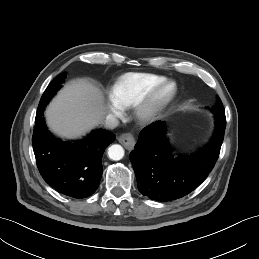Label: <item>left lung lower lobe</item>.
Returning <instances> with one entry per match:
<instances>
[{
	"label": "left lung lower lobe",
	"mask_w": 259,
	"mask_h": 259,
	"mask_svg": "<svg viewBox=\"0 0 259 259\" xmlns=\"http://www.w3.org/2000/svg\"><path fill=\"white\" fill-rule=\"evenodd\" d=\"M215 131L209 143L198 153L177 157L165 137L164 125L156 121L139 135L130 153L138 190L156 201H171L196 189L213 169L223 142L225 113H214Z\"/></svg>",
	"instance_id": "1"
}]
</instances>
